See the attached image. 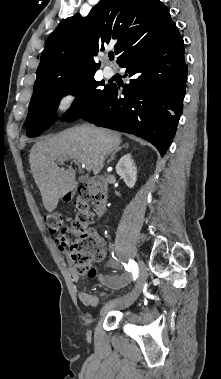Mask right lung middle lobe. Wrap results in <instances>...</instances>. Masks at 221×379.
<instances>
[{"label":"right lung middle lobe","instance_id":"obj_1","mask_svg":"<svg viewBox=\"0 0 221 379\" xmlns=\"http://www.w3.org/2000/svg\"><path fill=\"white\" fill-rule=\"evenodd\" d=\"M94 74L58 80L36 92L29 105L26 135L30 138L39 136L52 125L59 101L65 95L77 94L76 101L64 116L65 120L74 121L93 107L110 87L100 88L104 83L95 81Z\"/></svg>","mask_w":221,"mask_h":379}]
</instances>
